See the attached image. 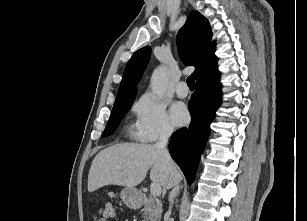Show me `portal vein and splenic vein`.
Returning a JSON list of instances; mask_svg holds the SVG:
<instances>
[{
	"label": "portal vein and splenic vein",
	"mask_w": 307,
	"mask_h": 221,
	"mask_svg": "<svg viewBox=\"0 0 307 221\" xmlns=\"http://www.w3.org/2000/svg\"><path fill=\"white\" fill-rule=\"evenodd\" d=\"M150 192H151V196L158 197L162 192L160 184L157 182L151 183Z\"/></svg>",
	"instance_id": "1"
}]
</instances>
